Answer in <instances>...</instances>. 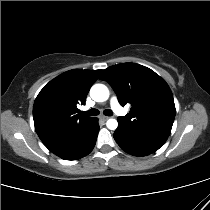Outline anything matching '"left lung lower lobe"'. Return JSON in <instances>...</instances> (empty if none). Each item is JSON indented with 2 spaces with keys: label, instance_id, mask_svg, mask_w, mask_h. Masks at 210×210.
<instances>
[{
  "label": "left lung lower lobe",
  "instance_id": "0a47b994",
  "mask_svg": "<svg viewBox=\"0 0 210 210\" xmlns=\"http://www.w3.org/2000/svg\"><path fill=\"white\" fill-rule=\"evenodd\" d=\"M114 139L125 152L134 156H146L158 150L167 138L129 131L120 125Z\"/></svg>",
  "mask_w": 210,
  "mask_h": 210
}]
</instances>
